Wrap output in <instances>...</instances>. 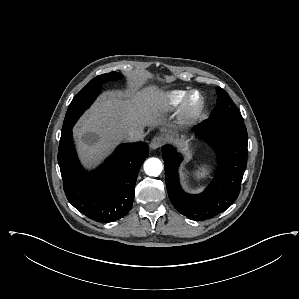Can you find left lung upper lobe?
Returning a JSON list of instances; mask_svg holds the SVG:
<instances>
[{
    "label": "left lung upper lobe",
    "instance_id": "1",
    "mask_svg": "<svg viewBox=\"0 0 299 299\" xmlns=\"http://www.w3.org/2000/svg\"><path fill=\"white\" fill-rule=\"evenodd\" d=\"M216 91L218 94L217 105L213 109L210 117H227L243 120L228 93L222 88H217Z\"/></svg>",
    "mask_w": 299,
    "mask_h": 299
}]
</instances>
